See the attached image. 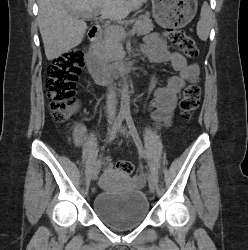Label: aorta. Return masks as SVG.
<instances>
[{
    "label": "aorta",
    "mask_w": 248,
    "mask_h": 250,
    "mask_svg": "<svg viewBox=\"0 0 248 250\" xmlns=\"http://www.w3.org/2000/svg\"><path fill=\"white\" fill-rule=\"evenodd\" d=\"M120 112L123 114L130 112V92L126 79H124L121 88Z\"/></svg>",
    "instance_id": "762f6f07"
}]
</instances>
